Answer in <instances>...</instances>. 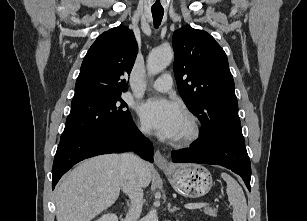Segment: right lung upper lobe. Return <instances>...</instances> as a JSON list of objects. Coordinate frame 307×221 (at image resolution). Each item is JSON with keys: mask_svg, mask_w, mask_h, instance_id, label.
<instances>
[{"mask_svg": "<svg viewBox=\"0 0 307 221\" xmlns=\"http://www.w3.org/2000/svg\"><path fill=\"white\" fill-rule=\"evenodd\" d=\"M138 46L125 26L102 33L92 44L81 65L72 103L119 95L127 91Z\"/></svg>", "mask_w": 307, "mask_h": 221, "instance_id": "obj_1", "label": "right lung upper lobe"}]
</instances>
